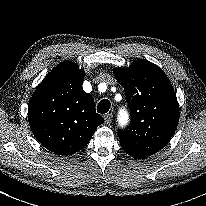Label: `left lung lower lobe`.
<instances>
[{"instance_id":"0a47b994","label":"left lung lower lobe","mask_w":206,"mask_h":206,"mask_svg":"<svg viewBox=\"0 0 206 206\" xmlns=\"http://www.w3.org/2000/svg\"><path fill=\"white\" fill-rule=\"evenodd\" d=\"M129 155H131L132 157H134V158H138V159H141L142 157H140V156H138V155H136V154H133V153H131V152H127Z\"/></svg>"}]
</instances>
